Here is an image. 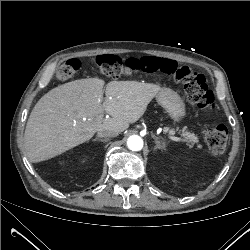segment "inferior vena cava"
Masks as SVG:
<instances>
[{
  "label": "inferior vena cava",
  "instance_id": "obj_1",
  "mask_svg": "<svg viewBox=\"0 0 250 250\" xmlns=\"http://www.w3.org/2000/svg\"><path fill=\"white\" fill-rule=\"evenodd\" d=\"M118 131L117 130H114V129H102V130H99L97 135L98 137H116L118 136Z\"/></svg>",
  "mask_w": 250,
  "mask_h": 250
}]
</instances>
